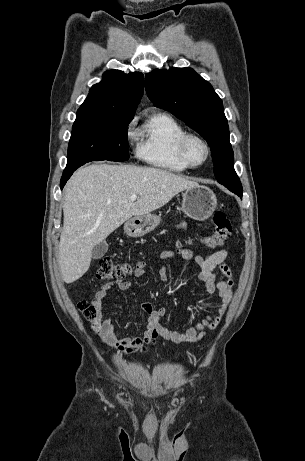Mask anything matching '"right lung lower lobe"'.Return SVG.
Listing matches in <instances>:
<instances>
[{
	"label": "right lung lower lobe",
	"mask_w": 305,
	"mask_h": 461,
	"mask_svg": "<svg viewBox=\"0 0 305 461\" xmlns=\"http://www.w3.org/2000/svg\"><path fill=\"white\" fill-rule=\"evenodd\" d=\"M78 168V166L72 167V168H65L63 172V176L61 178L60 182V187L61 189L64 187L65 183L67 180L70 178V176L73 174V172Z\"/></svg>",
	"instance_id": "1"
}]
</instances>
